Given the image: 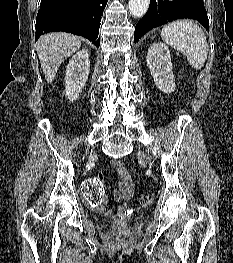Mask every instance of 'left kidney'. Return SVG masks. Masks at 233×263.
<instances>
[{"mask_svg": "<svg viewBox=\"0 0 233 263\" xmlns=\"http://www.w3.org/2000/svg\"><path fill=\"white\" fill-rule=\"evenodd\" d=\"M146 62L155 85L164 93L173 92L176 85L168 47L163 43H153L148 49Z\"/></svg>", "mask_w": 233, "mask_h": 263, "instance_id": "1", "label": "left kidney"}]
</instances>
